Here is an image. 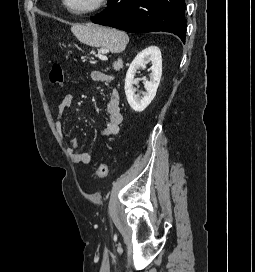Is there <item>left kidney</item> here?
Listing matches in <instances>:
<instances>
[{
	"label": "left kidney",
	"mask_w": 255,
	"mask_h": 272,
	"mask_svg": "<svg viewBox=\"0 0 255 272\" xmlns=\"http://www.w3.org/2000/svg\"><path fill=\"white\" fill-rule=\"evenodd\" d=\"M148 62L152 63L150 68V80L146 81L145 89L146 93L142 98L136 95V88L133 84L138 81L134 79L135 73L138 69H145ZM162 75V56L161 51L156 46H150L143 51H141L135 59L130 64L128 71L126 73L125 79V94L130 107L136 112H142L154 99L157 88L160 84V79Z\"/></svg>",
	"instance_id": "5707ae66"
}]
</instances>
